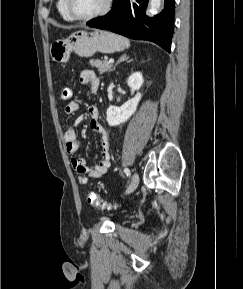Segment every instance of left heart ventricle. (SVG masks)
Here are the masks:
<instances>
[{
    "label": "left heart ventricle",
    "mask_w": 243,
    "mask_h": 289,
    "mask_svg": "<svg viewBox=\"0 0 243 289\" xmlns=\"http://www.w3.org/2000/svg\"><path fill=\"white\" fill-rule=\"evenodd\" d=\"M72 10L77 16H90L100 11L106 0H71Z\"/></svg>",
    "instance_id": "b2bd125f"
}]
</instances>
